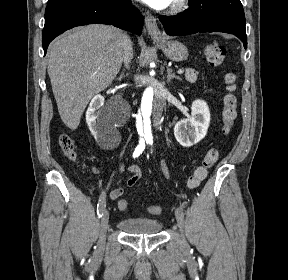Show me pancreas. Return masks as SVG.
I'll return each mask as SVG.
<instances>
[{
	"instance_id": "obj_1",
	"label": "pancreas",
	"mask_w": 288,
	"mask_h": 280,
	"mask_svg": "<svg viewBox=\"0 0 288 280\" xmlns=\"http://www.w3.org/2000/svg\"><path fill=\"white\" fill-rule=\"evenodd\" d=\"M198 74L199 73L197 71L187 68L186 73H185V78L188 82L195 83L197 81Z\"/></svg>"
}]
</instances>
